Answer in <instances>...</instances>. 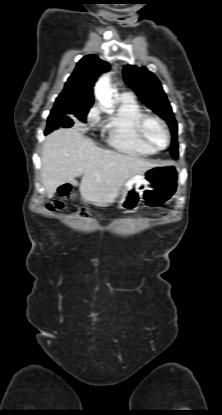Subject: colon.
<instances>
[{"label":"colon","mask_w":222,"mask_h":415,"mask_svg":"<svg viewBox=\"0 0 222 415\" xmlns=\"http://www.w3.org/2000/svg\"><path fill=\"white\" fill-rule=\"evenodd\" d=\"M70 191H71V188H70V186H69V185H62V186L59 188V195H60L62 198H67V197H69V196H70ZM62 207H63V202H62V201H56V202L52 205V208L61 209Z\"/></svg>","instance_id":"colon-1"}]
</instances>
